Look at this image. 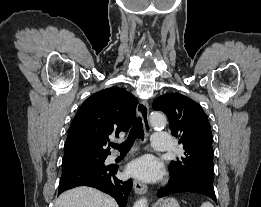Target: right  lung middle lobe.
I'll use <instances>...</instances> for the list:
<instances>
[{"instance_id": "1", "label": "right lung middle lobe", "mask_w": 261, "mask_h": 207, "mask_svg": "<svg viewBox=\"0 0 261 207\" xmlns=\"http://www.w3.org/2000/svg\"><path fill=\"white\" fill-rule=\"evenodd\" d=\"M105 159L106 157L94 156L62 161V172L77 168L102 165L104 164Z\"/></svg>"}]
</instances>
